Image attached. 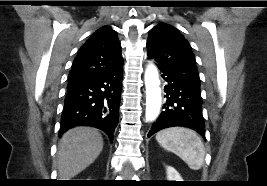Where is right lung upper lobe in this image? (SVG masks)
Wrapping results in <instances>:
<instances>
[{
  "instance_id": "right-lung-upper-lobe-1",
  "label": "right lung upper lobe",
  "mask_w": 267,
  "mask_h": 186,
  "mask_svg": "<svg viewBox=\"0 0 267 186\" xmlns=\"http://www.w3.org/2000/svg\"><path fill=\"white\" fill-rule=\"evenodd\" d=\"M121 44L108 26L98 29L79 49L69 79L106 70L122 64Z\"/></svg>"
}]
</instances>
